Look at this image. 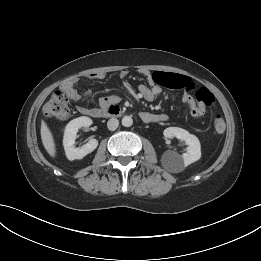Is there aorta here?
Segmentation results:
<instances>
[{
    "label": "aorta",
    "mask_w": 261,
    "mask_h": 261,
    "mask_svg": "<svg viewBox=\"0 0 261 261\" xmlns=\"http://www.w3.org/2000/svg\"><path fill=\"white\" fill-rule=\"evenodd\" d=\"M121 122L123 126L130 127L133 124V119L130 116H124Z\"/></svg>",
    "instance_id": "1"
}]
</instances>
